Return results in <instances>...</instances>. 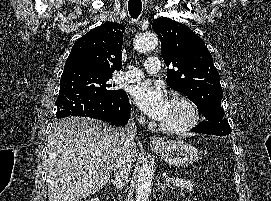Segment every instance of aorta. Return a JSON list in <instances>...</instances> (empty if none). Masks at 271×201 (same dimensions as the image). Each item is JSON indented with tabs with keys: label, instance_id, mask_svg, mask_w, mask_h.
<instances>
[{
	"label": "aorta",
	"instance_id": "1",
	"mask_svg": "<svg viewBox=\"0 0 271 201\" xmlns=\"http://www.w3.org/2000/svg\"><path fill=\"white\" fill-rule=\"evenodd\" d=\"M158 37L154 33L139 35L134 40V47L139 52H147L157 47ZM152 169L148 163H143L136 182L135 201H147L152 186Z\"/></svg>",
	"mask_w": 271,
	"mask_h": 201
}]
</instances>
